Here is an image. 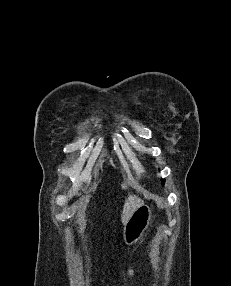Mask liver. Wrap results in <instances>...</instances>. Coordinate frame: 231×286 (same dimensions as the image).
I'll return each instance as SVG.
<instances>
[{
  "instance_id": "liver-1",
  "label": "liver",
  "mask_w": 231,
  "mask_h": 286,
  "mask_svg": "<svg viewBox=\"0 0 231 286\" xmlns=\"http://www.w3.org/2000/svg\"><path fill=\"white\" fill-rule=\"evenodd\" d=\"M142 205H144V201L141 198L135 195H129L125 200L121 214L122 224L126 225L133 213Z\"/></svg>"
}]
</instances>
